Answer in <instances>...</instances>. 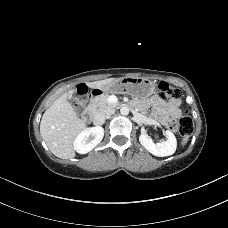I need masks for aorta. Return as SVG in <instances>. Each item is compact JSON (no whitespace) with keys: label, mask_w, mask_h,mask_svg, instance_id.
<instances>
[{"label":"aorta","mask_w":228,"mask_h":228,"mask_svg":"<svg viewBox=\"0 0 228 228\" xmlns=\"http://www.w3.org/2000/svg\"><path fill=\"white\" fill-rule=\"evenodd\" d=\"M120 112L122 115H128L129 114V108L127 106H122L120 109Z\"/></svg>","instance_id":"aorta-1"}]
</instances>
